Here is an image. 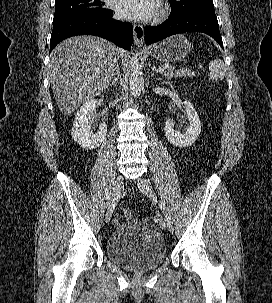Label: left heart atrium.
<instances>
[{
	"label": "left heart atrium",
	"instance_id": "39dd6f15",
	"mask_svg": "<svg viewBox=\"0 0 272 303\" xmlns=\"http://www.w3.org/2000/svg\"><path fill=\"white\" fill-rule=\"evenodd\" d=\"M115 9L122 18L146 21L158 13V0H117Z\"/></svg>",
	"mask_w": 272,
	"mask_h": 303
}]
</instances>
